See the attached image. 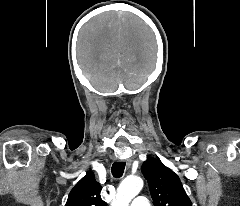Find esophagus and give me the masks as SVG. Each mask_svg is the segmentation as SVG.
<instances>
[{"label": "esophagus", "instance_id": "obj_1", "mask_svg": "<svg viewBox=\"0 0 240 206\" xmlns=\"http://www.w3.org/2000/svg\"><path fill=\"white\" fill-rule=\"evenodd\" d=\"M125 162H126V164L128 165V166H130L131 165V159H126V160H124Z\"/></svg>", "mask_w": 240, "mask_h": 206}]
</instances>
